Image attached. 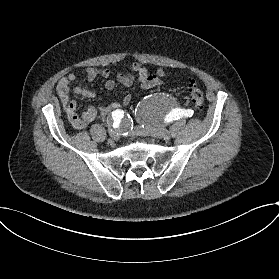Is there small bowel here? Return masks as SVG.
<instances>
[{
	"label": "small bowel",
	"mask_w": 279,
	"mask_h": 279,
	"mask_svg": "<svg viewBox=\"0 0 279 279\" xmlns=\"http://www.w3.org/2000/svg\"><path fill=\"white\" fill-rule=\"evenodd\" d=\"M164 71L159 70L155 74H150L149 71L140 63L133 62L128 67V72H117L112 75L108 69L87 68L86 77L88 81H94L101 77L105 80V88L108 90L114 89L116 82L121 83L126 87L133 85L135 75L138 76L139 82L144 89H149L161 84L160 78L164 76ZM77 80V74L69 73L61 78L56 85V93L61 100L63 109L71 125L77 130H83L93 121L98 115H104L112 110L120 109L128 106L132 101L131 94L127 93L119 102H112L109 105L89 106L81 114L77 111V104L70 98V93L84 98H95L96 94L85 86H71Z\"/></svg>",
	"instance_id": "1"
}]
</instances>
